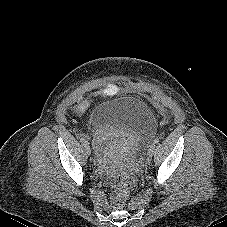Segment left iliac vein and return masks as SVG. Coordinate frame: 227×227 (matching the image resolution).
Returning a JSON list of instances; mask_svg holds the SVG:
<instances>
[{"mask_svg":"<svg viewBox=\"0 0 227 227\" xmlns=\"http://www.w3.org/2000/svg\"><path fill=\"white\" fill-rule=\"evenodd\" d=\"M154 152H155V145L152 144V145H150V147H149V149H148V155H149L150 157H152L153 154H154Z\"/></svg>","mask_w":227,"mask_h":227,"instance_id":"obj_1","label":"left iliac vein"}]
</instances>
